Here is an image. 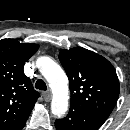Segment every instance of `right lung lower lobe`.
Segmentation results:
<instances>
[{"instance_id":"1","label":"right lung lower lobe","mask_w":130,"mask_h":130,"mask_svg":"<svg viewBox=\"0 0 130 130\" xmlns=\"http://www.w3.org/2000/svg\"><path fill=\"white\" fill-rule=\"evenodd\" d=\"M25 125V124H24ZM24 125L23 126H21L20 128H18L17 130H22V128L24 127Z\"/></svg>"}]
</instances>
